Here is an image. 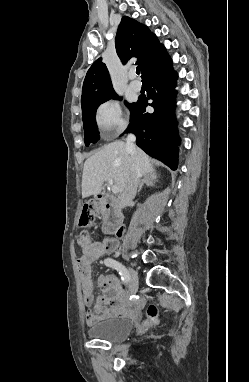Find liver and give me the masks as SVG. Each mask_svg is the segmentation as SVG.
<instances>
[{
    "label": "liver",
    "instance_id": "liver-1",
    "mask_svg": "<svg viewBox=\"0 0 249 382\" xmlns=\"http://www.w3.org/2000/svg\"><path fill=\"white\" fill-rule=\"evenodd\" d=\"M133 162L137 164L141 176L155 171L148 155L141 149L136 148L135 155H133L123 141L104 145L84 163L82 197L86 198L99 194L106 181L114 182L121 193Z\"/></svg>",
    "mask_w": 249,
    "mask_h": 382
}]
</instances>
